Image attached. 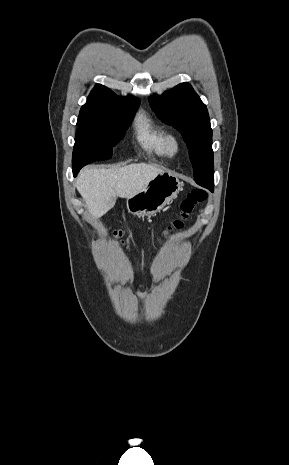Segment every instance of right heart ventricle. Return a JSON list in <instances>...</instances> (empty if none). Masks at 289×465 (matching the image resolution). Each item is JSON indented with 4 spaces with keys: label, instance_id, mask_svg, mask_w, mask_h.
<instances>
[{
    "label": "right heart ventricle",
    "instance_id": "right-heart-ventricle-1",
    "mask_svg": "<svg viewBox=\"0 0 289 465\" xmlns=\"http://www.w3.org/2000/svg\"><path fill=\"white\" fill-rule=\"evenodd\" d=\"M135 138L140 147L152 158L166 156L167 132L146 112H139L133 122Z\"/></svg>",
    "mask_w": 289,
    "mask_h": 465
}]
</instances>
